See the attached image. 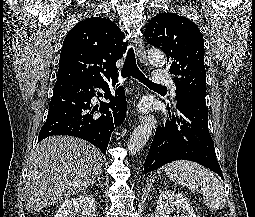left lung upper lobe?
Returning a JSON list of instances; mask_svg holds the SVG:
<instances>
[{
	"label": "left lung upper lobe",
	"instance_id": "5c2ea615",
	"mask_svg": "<svg viewBox=\"0 0 255 217\" xmlns=\"http://www.w3.org/2000/svg\"><path fill=\"white\" fill-rule=\"evenodd\" d=\"M145 38L165 52L169 71L176 75V100L190 96L205 102L204 40L197 25L175 13H162L150 20Z\"/></svg>",
	"mask_w": 255,
	"mask_h": 217
}]
</instances>
